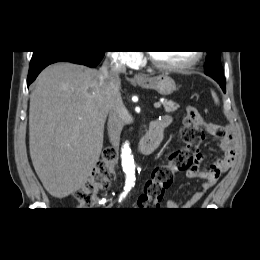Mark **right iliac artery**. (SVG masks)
<instances>
[{
  "label": "right iliac artery",
  "mask_w": 260,
  "mask_h": 260,
  "mask_svg": "<svg viewBox=\"0 0 260 260\" xmlns=\"http://www.w3.org/2000/svg\"><path fill=\"white\" fill-rule=\"evenodd\" d=\"M127 192H128V188L125 187V191L120 195L119 201L123 200L126 197Z\"/></svg>",
  "instance_id": "right-iliac-artery-1"
}]
</instances>
